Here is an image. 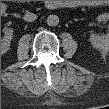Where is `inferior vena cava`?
Returning <instances> with one entry per match:
<instances>
[{"instance_id": "602c4592", "label": "inferior vena cava", "mask_w": 109, "mask_h": 109, "mask_svg": "<svg viewBox=\"0 0 109 109\" xmlns=\"http://www.w3.org/2000/svg\"><path fill=\"white\" fill-rule=\"evenodd\" d=\"M24 20L27 21V22H33L34 20L37 19V15L34 14V13H29L27 12L25 15H24Z\"/></svg>"}]
</instances>
